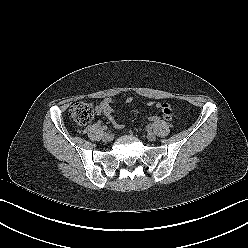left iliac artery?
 Returning <instances> with one entry per match:
<instances>
[{
  "instance_id": "left-iliac-artery-1",
  "label": "left iliac artery",
  "mask_w": 248,
  "mask_h": 248,
  "mask_svg": "<svg viewBox=\"0 0 248 248\" xmlns=\"http://www.w3.org/2000/svg\"><path fill=\"white\" fill-rule=\"evenodd\" d=\"M148 129H152V125H148Z\"/></svg>"
}]
</instances>
